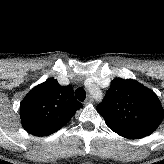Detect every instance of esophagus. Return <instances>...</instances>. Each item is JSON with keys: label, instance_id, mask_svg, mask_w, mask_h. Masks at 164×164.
I'll return each instance as SVG.
<instances>
[{"label": "esophagus", "instance_id": "esophagus-1", "mask_svg": "<svg viewBox=\"0 0 164 164\" xmlns=\"http://www.w3.org/2000/svg\"><path fill=\"white\" fill-rule=\"evenodd\" d=\"M93 98H92V96H88L87 98H86V100H85V104H90V103H93Z\"/></svg>", "mask_w": 164, "mask_h": 164}]
</instances>
